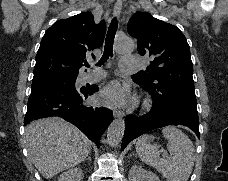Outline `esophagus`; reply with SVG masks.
Here are the masks:
<instances>
[{"label": "esophagus", "instance_id": "34e87169", "mask_svg": "<svg viewBox=\"0 0 228 181\" xmlns=\"http://www.w3.org/2000/svg\"><path fill=\"white\" fill-rule=\"evenodd\" d=\"M121 8H122V1L121 0H117L115 2L114 10H113V13H114L115 16H118L120 14ZM113 115H114L115 118H120V117L122 118V117L125 116L124 111H122V110H115L113 112Z\"/></svg>", "mask_w": 228, "mask_h": 181}]
</instances>
